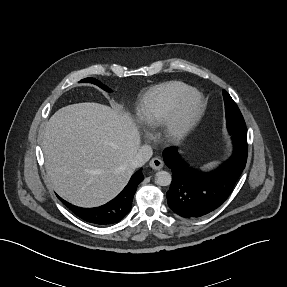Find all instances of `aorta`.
Masks as SVG:
<instances>
[{"instance_id": "762f6f07", "label": "aorta", "mask_w": 287, "mask_h": 287, "mask_svg": "<svg viewBox=\"0 0 287 287\" xmlns=\"http://www.w3.org/2000/svg\"><path fill=\"white\" fill-rule=\"evenodd\" d=\"M155 181L160 186H168L172 181V177L169 172L161 170L155 174Z\"/></svg>"}]
</instances>
